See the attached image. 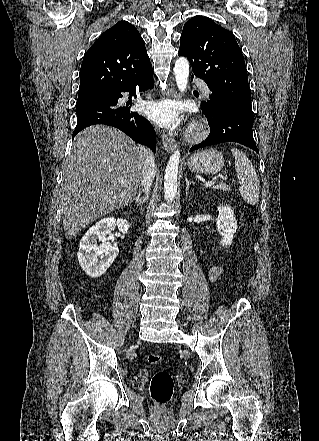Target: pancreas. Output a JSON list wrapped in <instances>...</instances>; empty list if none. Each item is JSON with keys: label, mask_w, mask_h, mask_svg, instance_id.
Segmentation results:
<instances>
[{"label": "pancreas", "mask_w": 319, "mask_h": 441, "mask_svg": "<svg viewBox=\"0 0 319 441\" xmlns=\"http://www.w3.org/2000/svg\"><path fill=\"white\" fill-rule=\"evenodd\" d=\"M212 188L213 189H220L225 192L231 191V188L228 185H226L225 183H221L219 185H213Z\"/></svg>", "instance_id": "pancreas-1"}]
</instances>
